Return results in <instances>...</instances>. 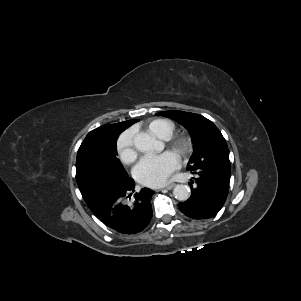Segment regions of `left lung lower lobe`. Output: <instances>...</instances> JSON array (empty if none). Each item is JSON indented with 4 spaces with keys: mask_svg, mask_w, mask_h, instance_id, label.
Returning <instances> with one entry per match:
<instances>
[{
    "mask_svg": "<svg viewBox=\"0 0 301 301\" xmlns=\"http://www.w3.org/2000/svg\"><path fill=\"white\" fill-rule=\"evenodd\" d=\"M191 173L197 175L189 183L191 197L179 203L178 207L182 213L194 219L212 218L227 198L230 173L212 169H198Z\"/></svg>",
    "mask_w": 301,
    "mask_h": 301,
    "instance_id": "0a47b994",
    "label": "left lung lower lobe"
}]
</instances>
